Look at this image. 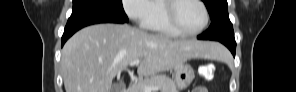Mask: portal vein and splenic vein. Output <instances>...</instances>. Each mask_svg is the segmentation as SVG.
<instances>
[{"label":"portal vein and splenic vein","mask_w":296,"mask_h":92,"mask_svg":"<svg viewBox=\"0 0 296 92\" xmlns=\"http://www.w3.org/2000/svg\"><path fill=\"white\" fill-rule=\"evenodd\" d=\"M140 62H141L140 59H136V60L132 61L129 65H130V66L139 65ZM158 89H159L158 86H144V87H143L144 92H154V91H156V90H158Z\"/></svg>","instance_id":"obj_1"}]
</instances>
